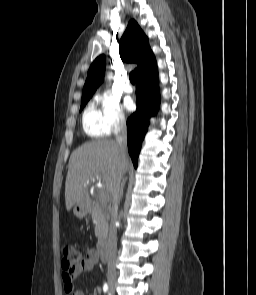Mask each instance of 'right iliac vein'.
Returning <instances> with one entry per match:
<instances>
[{
  "instance_id": "obj_1",
  "label": "right iliac vein",
  "mask_w": 256,
  "mask_h": 295,
  "mask_svg": "<svg viewBox=\"0 0 256 295\" xmlns=\"http://www.w3.org/2000/svg\"><path fill=\"white\" fill-rule=\"evenodd\" d=\"M107 281L110 293L114 294L116 286V275L113 273L108 274Z\"/></svg>"
}]
</instances>
